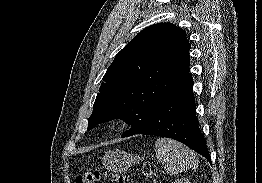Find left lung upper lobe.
Returning <instances> with one entry per match:
<instances>
[{
    "instance_id": "1",
    "label": "left lung upper lobe",
    "mask_w": 262,
    "mask_h": 183,
    "mask_svg": "<svg viewBox=\"0 0 262 183\" xmlns=\"http://www.w3.org/2000/svg\"><path fill=\"white\" fill-rule=\"evenodd\" d=\"M189 50L185 31L171 23L142 30L102 78L88 129L120 118L131 124L122 137L140 132L188 75Z\"/></svg>"
}]
</instances>
